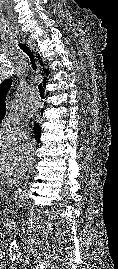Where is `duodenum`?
<instances>
[{
	"label": "duodenum",
	"mask_w": 118,
	"mask_h": 269,
	"mask_svg": "<svg viewBox=\"0 0 118 269\" xmlns=\"http://www.w3.org/2000/svg\"><path fill=\"white\" fill-rule=\"evenodd\" d=\"M14 222L10 219L6 220L2 224L3 231L5 233H10L13 230Z\"/></svg>",
	"instance_id": "410a0bca"
}]
</instances>
